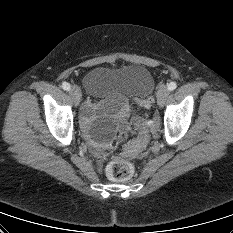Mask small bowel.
<instances>
[{
    "label": "small bowel",
    "instance_id": "obj_1",
    "mask_svg": "<svg viewBox=\"0 0 233 233\" xmlns=\"http://www.w3.org/2000/svg\"><path fill=\"white\" fill-rule=\"evenodd\" d=\"M97 105L93 101L86 102L83 113H84V120L87 122L90 116L96 111Z\"/></svg>",
    "mask_w": 233,
    "mask_h": 233
}]
</instances>
